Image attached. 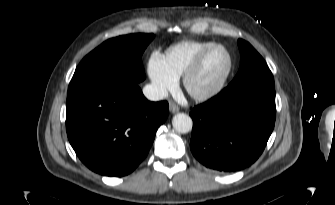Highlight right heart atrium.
<instances>
[{
    "label": "right heart atrium",
    "mask_w": 335,
    "mask_h": 205,
    "mask_svg": "<svg viewBox=\"0 0 335 205\" xmlns=\"http://www.w3.org/2000/svg\"><path fill=\"white\" fill-rule=\"evenodd\" d=\"M147 73L157 96H164L176 86L177 78L168 70L163 55L158 52L151 54L147 64Z\"/></svg>",
    "instance_id": "obj_1"
}]
</instances>
